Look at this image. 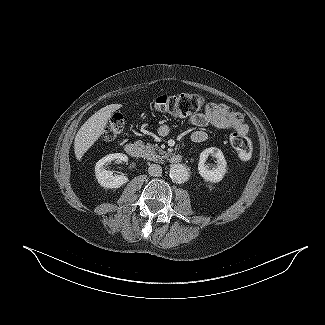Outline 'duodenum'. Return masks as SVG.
Wrapping results in <instances>:
<instances>
[{
  "label": "duodenum",
  "mask_w": 325,
  "mask_h": 325,
  "mask_svg": "<svg viewBox=\"0 0 325 325\" xmlns=\"http://www.w3.org/2000/svg\"><path fill=\"white\" fill-rule=\"evenodd\" d=\"M125 151L129 156H131L133 158H139L142 154L141 146L139 144L133 143V142L126 144ZM182 159H183V157L181 154L176 153V154H172L170 156V161L172 163H179L182 161Z\"/></svg>",
  "instance_id": "410a0bca"
}]
</instances>
